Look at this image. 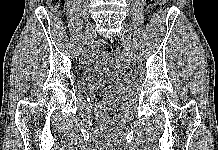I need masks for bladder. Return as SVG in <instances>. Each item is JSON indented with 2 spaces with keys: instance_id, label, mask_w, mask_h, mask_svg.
Listing matches in <instances>:
<instances>
[{
  "instance_id": "obj_1",
  "label": "bladder",
  "mask_w": 218,
  "mask_h": 150,
  "mask_svg": "<svg viewBox=\"0 0 218 150\" xmlns=\"http://www.w3.org/2000/svg\"><path fill=\"white\" fill-rule=\"evenodd\" d=\"M115 64L110 57L102 54L92 55L82 70V79L90 82L95 79H108L112 76Z\"/></svg>"
}]
</instances>
